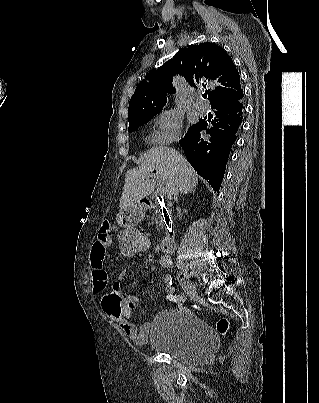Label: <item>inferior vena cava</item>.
<instances>
[{
    "instance_id": "1",
    "label": "inferior vena cava",
    "mask_w": 319,
    "mask_h": 403,
    "mask_svg": "<svg viewBox=\"0 0 319 403\" xmlns=\"http://www.w3.org/2000/svg\"><path fill=\"white\" fill-rule=\"evenodd\" d=\"M171 194L174 195V200L177 202V200H178V188H174L172 190Z\"/></svg>"
}]
</instances>
